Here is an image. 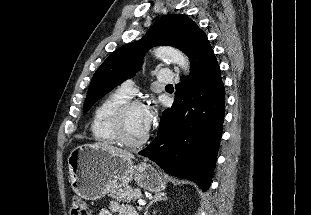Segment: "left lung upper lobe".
I'll return each mask as SVG.
<instances>
[{
    "mask_svg": "<svg viewBox=\"0 0 311 215\" xmlns=\"http://www.w3.org/2000/svg\"><path fill=\"white\" fill-rule=\"evenodd\" d=\"M205 33L186 15H167L150 27L145 36L126 44L103 62L95 72L84 103V114L114 87L131 78L141 65L146 51L153 46L170 45L186 55Z\"/></svg>",
    "mask_w": 311,
    "mask_h": 215,
    "instance_id": "5c2ea615",
    "label": "left lung upper lobe"
}]
</instances>
